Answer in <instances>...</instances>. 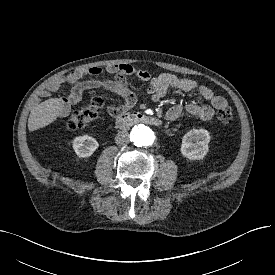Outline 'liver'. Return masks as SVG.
<instances>
[{
    "instance_id": "1",
    "label": "liver",
    "mask_w": 275,
    "mask_h": 275,
    "mask_svg": "<svg viewBox=\"0 0 275 275\" xmlns=\"http://www.w3.org/2000/svg\"><path fill=\"white\" fill-rule=\"evenodd\" d=\"M64 109L62 98H51L40 103L29 115L28 129L34 131L48 126L63 114Z\"/></svg>"
}]
</instances>
